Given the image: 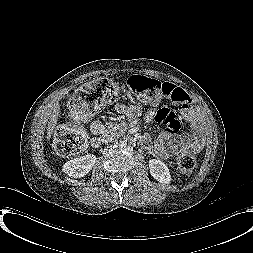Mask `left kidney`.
Masks as SVG:
<instances>
[{
	"instance_id": "1",
	"label": "left kidney",
	"mask_w": 253,
	"mask_h": 253,
	"mask_svg": "<svg viewBox=\"0 0 253 253\" xmlns=\"http://www.w3.org/2000/svg\"><path fill=\"white\" fill-rule=\"evenodd\" d=\"M149 168L151 176L160 183H169L171 181V175L167 165L157 159L149 160Z\"/></svg>"
}]
</instances>
